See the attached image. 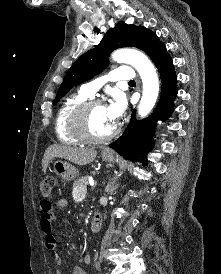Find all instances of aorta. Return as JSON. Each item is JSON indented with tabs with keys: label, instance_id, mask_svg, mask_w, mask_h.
Here are the masks:
<instances>
[{
	"label": "aorta",
	"instance_id": "762f6f07",
	"mask_svg": "<svg viewBox=\"0 0 221 274\" xmlns=\"http://www.w3.org/2000/svg\"><path fill=\"white\" fill-rule=\"evenodd\" d=\"M112 59L118 63L130 64L138 71L143 82L138 113L141 117L147 116L154 107L159 93V81L155 67L147 56L135 49L116 50L112 54Z\"/></svg>",
	"mask_w": 221,
	"mask_h": 274
}]
</instances>
